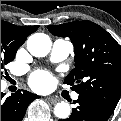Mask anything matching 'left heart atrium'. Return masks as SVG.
I'll return each mask as SVG.
<instances>
[{
  "label": "left heart atrium",
  "instance_id": "39dd6f15",
  "mask_svg": "<svg viewBox=\"0 0 121 121\" xmlns=\"http://www.w3.org/2000/svg\"><path fill=\"white\" fill-rule=\"evenodd\" d=\"M31 86L39 92H46L50 90L54 85V78L47 72H36L31 76Z\"/></svg>",
  "mask_w": 121,
  "mask_h": 121
}]
</instances>
